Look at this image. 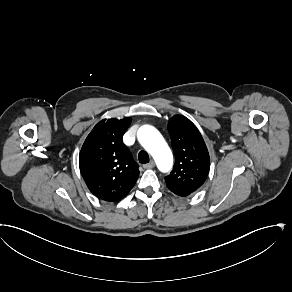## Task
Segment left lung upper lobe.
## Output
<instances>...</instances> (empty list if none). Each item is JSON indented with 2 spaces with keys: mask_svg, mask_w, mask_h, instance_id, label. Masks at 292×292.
I'll return each instance as SVG.
<instances>
[{
  "mask_svg": "<svg viewBox=\"0 0 292 292\" xmlns=\"http://www.w3.org/2000/svg\"><path fill=\"white\" fill-rule=\"evenodd\" d=\"M175 155L172 172L165 177L173 193L191 194L205 182L210 168V157L202 135L196 126L182 115L168 122Z\"/></svg>",
  "mask_w": 292,
  "mask_h": 292,
  "instance_id": "5c2ea615",
  "label": "left lung upper lobe"
}]
</instances>
